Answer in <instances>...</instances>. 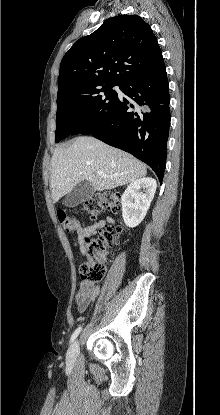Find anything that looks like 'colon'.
<instances>
[{
    "mask_svg": "<svg viewBox=\"0 0 220 415\" xmlns=\"http://www.w3.org/2000/svg\"><path fill=\"white\" fill-rule=\"evenodd\" d=\"M83 211L91 218H96L105 211L118 213L121 208V198L118 193L99 192L85 198L81 205ZM60 224L70 233L76 232L80 225L75 217L64 210L57 212ZM121 233L120 227H108L97 236L86 237L83 242L87 259L80 267L81 279L88 284L102 281L106 266L104 255L117 242Z\"/></svg>",
    "mask_w": 220,
    "mask_h": 415,
    "instance_id": "colon-1",
    "label": "colon"
}]
</instances>
